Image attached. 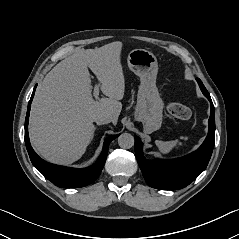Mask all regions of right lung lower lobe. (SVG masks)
Returning <instances> with one entry per match:
<instances>
[{"instance_id":"98d812e1","label":"right lung lower lobe","mask_w":239,"mask_h":239,"mask_svg":"<svg viewBox=\"0 0 239 239\" xmlns=\"http://www.w3.org/2000/svg\"><path fill=\"white\" fill-rule=\"evenodd\" d=\"M36 88V86H35ZM35 88L33 90L31 99L28 104L26 119H25V144L31 159V162L49 181L58 187L62 188H78L89 185L94 180H96L105 164L108 147L110 142L117 138L119 135H113L108 137L103 145V150L98 158V160L90 167L84 169H74L70 167L59 166L55 164L48 163L41 159L31 147L29 136H28V121L29 113L31 108V102L34 97Z\"/></svg>"}]
</instances>
